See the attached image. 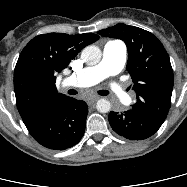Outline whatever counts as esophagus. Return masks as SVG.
Wrapping results in <instances>:
<instances>
[{
    "mask_svg": "<svg viewBox=\"0 0 187 187\" xmlns=\"http://www.w3.org/2000/svg\"><path fill=\"white\" fill-rule=\"evenodd\" d=\"M99 99L98 96H93V97H89L86 99V102L88 105H92L93 103H95L97 100Z\"/></svg>",
    "mask_w": 187,
    "mask_h": 187,
    "instance_id": "esophagus-1",
    "label": "esophagus"
}]
</instances>
